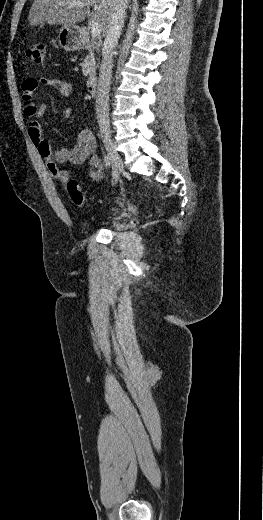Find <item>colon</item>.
Segmentation results:
<instances>
[{
	"instance_id": "obj_1",
	"label": "colon",
	"mask_w": 263,
	"mask_h": 520,
	"mask_svg": "<svg viewBox=\"0 0 263 520\" xmlns=\"http://www.w3.org/2000/svg\"><path fill=\"white\" fill-rule=\"evenodd\" d=\"M46 46L44 43H36L26 50L27 57L36 64H43L45 60ZM67 192L73 203L77 206H82L85 202L84 195L76 180L69 179L66 182Z\"/></svg>"
}]
</instances>
